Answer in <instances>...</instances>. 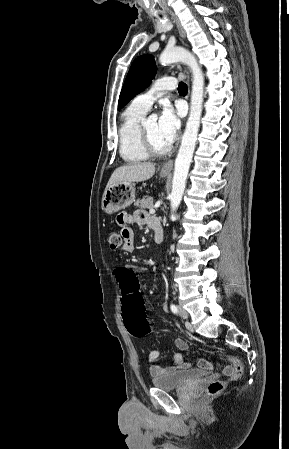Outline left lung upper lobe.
I'll list each match as a JSON object with an SVG mask.
<instances>
[{"label":"left lung upper lobe","mask_w":289,"mask_h":449,"mask_svg":"<svg viewBox=\"0 0 289 449\" xmlns=\"http://www.w3.org/2000/svg\"><path fill=\"white\" fill-rule=\"evenodd\" d=\"M156 64L152 55H142L134 60L125 79L118 102V110L135 95L142 92L154 78Z\"/></svg>","instance_id":"left-lung-upper-lobe-1"}]
</instances>
